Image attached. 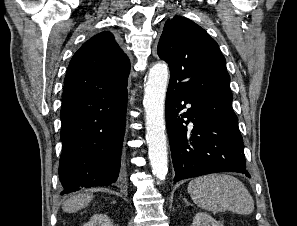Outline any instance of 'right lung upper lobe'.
<instances>
[{
	"instance_id": "right-lung-upper-lobe-1",
	"label": "right lung upper lobe",
	"mask_w": 297,
	"mask_h": 226,
	"mask_svg": "<svg viewBox=\"0 0 297 226\" xmlns=\"http://www.w3.org/2000/svg\"><path fill=\"white\" fill-rule=\"evenodd\" d=\"M128 57L110 32L99 33L74 54L67 69L63 99L90 91L119 90L127 86Z\"/></svg>"
}]
</instances>
